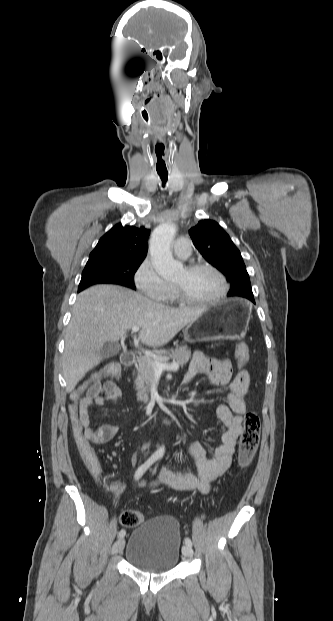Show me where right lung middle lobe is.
I'll list each match as a JSON object with an SVG mask.
<instances>
[{"instance_id": "obj_1", "label": "right lung middle lobe", "mask_w": 333, "mask_h": 621, "mask_svg": "<svg viewBox=\"0 0 333 621\" xmlns=\"http://www.w3.org/2000/svg\"><path fill=\"white\" fill-rule=\"evenodd\" d=\"M141 263L127 259L88 261L82 272L78 292L101 283L118 284L135 290L134 274Z\"/></svg>"}]
</instances>
